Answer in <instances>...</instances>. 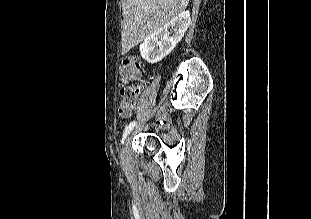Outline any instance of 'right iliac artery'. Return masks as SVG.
Here are the masks:
<instances>
[{"label": "right iliac artery", "instance_id": "82829eb1", "mask_svg": "<svg viewBox=\"0 0 311 219\" xmlns=\"http://www.w3.org/2000/svg\"><path fill=\"white\" fill-rule=\"evenodd\" d=\"M135 125H136V122L133 121L128 126H126L124 133H123V137H122V143H124V140L126 139V137L131 132V130L134 128Z\"/></svg>", "mask_w": 311, "mask_h": 219}]
</instances>
